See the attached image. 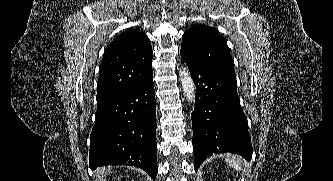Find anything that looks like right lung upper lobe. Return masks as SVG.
I'll use <instances>...</instances> for the list:
<instances>
[{"mask_svg":"<svg viewBox=\"0 0 333 181\" xmlns=\"http://www.w3.org/2000/svg\"><path fill=\"white\" fill-rule=\"evenodd\" d=\"M152 56L146 35L136 30H127L119 35L106 48L99 67L97 102L151 78Z\"/></svg>","mask_w":333,"mask_h":181,"instance_id":"right-lung-upper-lobe-1","label":"right lung upper lobe"}]
</instances>
